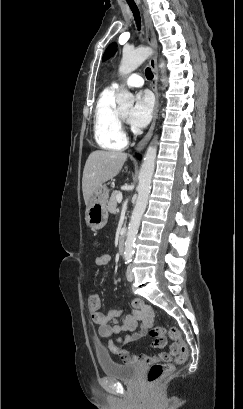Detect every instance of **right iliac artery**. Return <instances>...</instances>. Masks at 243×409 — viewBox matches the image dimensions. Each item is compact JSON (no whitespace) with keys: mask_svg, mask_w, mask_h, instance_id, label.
I'll return each mask as SVG.
<instances>
[{"mask_svg":"<svg viewBox=\"0 0 243 409\" xmlns=\"http://www.w3.org/2000/svg\"><path fill=\"white\" fill-rule=\"evenodd\" d=\"M129 261H130V260H127V261L125 262V264L129 263Z\"/></svg>","mask_w":243,"mask_h":409,"instance_id":"right-iliac-artery-1","label":"right iliac artery"}]
</instances>
